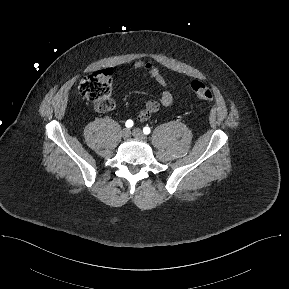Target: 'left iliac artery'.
<instances>
[{
  "instance_id": "left-iliac-artery-1",
  "label": "left iliac artery",
  "mask_w": 289,
  "mask_h": 289,
  "mask_svg": "<svg viewBox=\"0 0 289 289\" xmlns=\"http://www.w3.org/2000/svg\"><path fill=\"white\" fill-rule=\"evenodd\" d=\"M150 132H151V130H150L149 127L146 126V127L143 128V133L144 134L148 135V134H150Z\"/></svg>"
}]
</instances>
